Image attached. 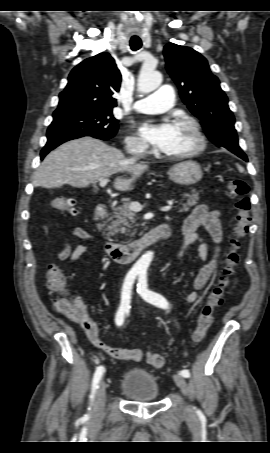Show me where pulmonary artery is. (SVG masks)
I'll use <instances>...</instances> for the list:
<instances>
[{
	"label": "pulmonary artery",
	"mask_w": 270,
	"mask_h": 453,
	"mask_svg": "<svg viewBox=\"0 0 270 453\" xmlns=\"http://www.w3.org/2000/svg\"><path fill=\"white\" fill-rule=\"evenodd\" d=\"M175 94L171 86H162L156 92L137 100L134 109L140 113L160 114L174 104Z\"/></svg>",
	"instance_id": "e3ab8cb5"
}]
</instances>
